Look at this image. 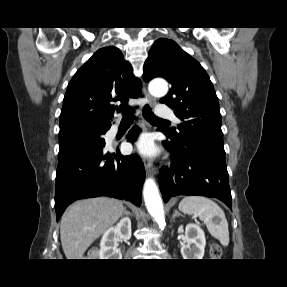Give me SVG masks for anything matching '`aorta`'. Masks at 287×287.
I'll list each match as a JSON object with an SVG mask.
<instances>
[{"label": "aorta", "mask_w": 287, "mask_h": 287, "mask_svg": "<svg viewBox=\"0 0 287 287\" xmlns=\"http://www.w3.org/2000/svg\"><path fill=\"white\" fill-rule=\"evenodd\" d=\"M149 91L154 96H164L168 92V85L165 81H153L149 84ZM143 197L146 208L160 227L165 226V215L162 199L158 187L153 178L146 179L143 188Z\"/></svg>", "instance_id": "obj_1"}]
</instances>
